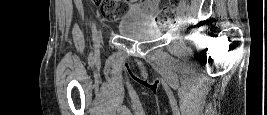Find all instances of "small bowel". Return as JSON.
Instances as JSON below:
<instances>
[{
  "label": "small bowel",
  "instance_id": "obj_1",
  "mask_svg": "<svg viewBox=\"0 0 267 115\" xmlns=\"http://www.w3.org/2000/svg\"><path fill=\"white\" fill-rule=\"evenodd\" d=\"M159 2V0H145L143 2L133 3L130 5V10L133 14L154 20Z\"/></svg>",
  "mask_w": 267,
  "mask_h": 115
}]
</instances>
